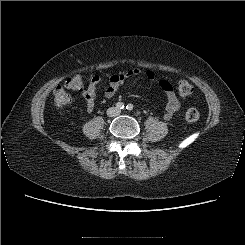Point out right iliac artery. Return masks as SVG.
I'll return each instance as SVG.
<instances>
[{"instance_id": "right-iliac-artery-1", "label": "right iliac artery", "mask_w": 245, "mask_h": 245, "mask_svg": "<svg viewBox=\"0 0 245 245\" xmlns=\"http://www.w3.org/2000/svg\"><path fill=\"white\" fill-rule=\"evenodd\" d=\"M116 107H117V109H119V110H122V109H124V103H122V102H118L117 104H116Z\"/></svg>"}]
</instances>
